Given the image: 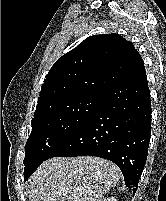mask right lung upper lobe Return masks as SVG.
I'll return each mask as SVG.
<instances>
[{"mask_svg":"<svg viewBox=\"0 0 166 201\" xmlns=\"http://www.w3.org/2000/svg\"><path fill=\"white\" fill-rule=\"evenodd\" d=\"M141 60L134 45L119 34L88 37L45 76L34 116L71 98L103 95Z\"/></svg>","mask_w":166,"mask_h":201,"instance_id":"cb5924a9","label":"right lung upper lobe"}]
</instances>
